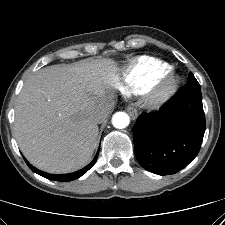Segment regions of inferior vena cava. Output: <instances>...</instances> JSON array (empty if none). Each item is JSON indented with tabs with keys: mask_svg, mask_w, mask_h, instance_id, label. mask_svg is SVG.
I'll list each match as a JSON object with an SVG mask.
<instances>
[{
	"mask_svg": "<svg viewBox=\"0 0 225 225\" xmlns=\"http://www.w3.org/2000/svg\"><path fill=\"white\" fill-rule=\"evenodd\" d=\"M113 102H109L106 105H104L100 110H98L97 112H95L94 114V120L97 123H102L104 122L108 115L110 114L111 108L113 107Z\"/></svg>",
	"mask_w": 225,
	"mask_h": 225,
	"instance_id": "inferior-vena-cava-1",
	"label": "inferior vena cava"
}]
</instances>
